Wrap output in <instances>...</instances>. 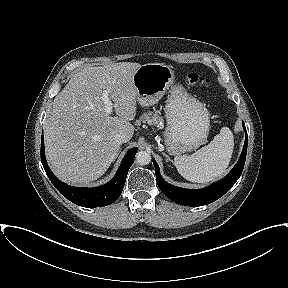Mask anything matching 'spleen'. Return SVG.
Returning <instances> with one entry per match:
<instances>
[{"label":"spleen","mask_w":288,"mask_h":288,"mask_svg":"<svg viewBox=\"0 0 288 288\" xmlns=\"http://www.w3.org/2000/svg\"><path fill=\"white\" fill-rule=\"evenodd\" d=\"M234 147L233 134L228 127L206 146L192 155H177L174 165L179 174L186 180L196 183H207L221 176L229 165Z\"/></svg>","instance_id":"1"}]
</instances>
